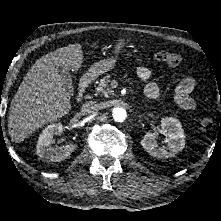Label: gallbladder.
Wrapping results in <instances>:
<instances>
[{"label": "gallbladder", "mask_w": 221, "mask_h": 221, "mask_svg": "<svg viewBox=\"0 0 221 221\" xmlns=\"http://www.w3.org/2000/svg\"><path fill=\"white\" fill-rule=\"evenodd\" d=\"M59 73L61 75L62 82L64 83V85L67 88V90L70 93L73 92V90H74V88H73V81H72L70 72L67 69H65V68H60L59 69Z\"/></svg>", "instance_id": "1"}]
</instances>
